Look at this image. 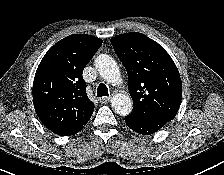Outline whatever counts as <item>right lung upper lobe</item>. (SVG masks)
Segmentation results:
<instances>
[{
    "label": "right lung upper lobe",
    "instance_id": "1",
    "mask_svg": "<svg viewBox=\"0 0 224 175\" xmlns=\"http://www.w3.org/2000/svg\"><path fill=\"white\" fill-rule=\"evenodd\" d=\"M101 45L102 40L91 35H70L41 60L33 82V103L52 132L64 135L89 121L94 104L87 97L82 71Z\"/></svg>",
    "mask_w": 224,
    "mask_h": 175
}]
</instances>
